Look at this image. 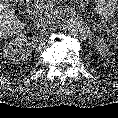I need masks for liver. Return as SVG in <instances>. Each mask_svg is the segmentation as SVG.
Listing matches in <instances>:
<instances>
[{"label":"liver","mask_w":118,"mask_h":118,"mask_svg":"<svg viewBox=\"0 0 118 118\" xmlns=\"http://www.w3.org/2000/svg\"><path fill=\"white\" fill-rule=\"evenodd\" d=\"M9 1L11 2L12 0H7L6 2L0 0V41L12 35H19L25 26L17 19L14 10L10 9ZM51 1L55 2L56 0Z\"/></svg>","instance_id":"1"}]
</instances>
